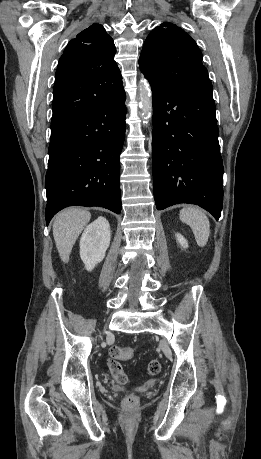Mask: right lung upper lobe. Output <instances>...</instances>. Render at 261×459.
Segmentation results:
<instances>
[{"instance_id": "obj_1", "label": "right lung upper lobe", "mask_w": 261, "mask_h": 459, "mask_svg": "<svg viewBox=\"0 0 261 459\" xmlns=\"http://www.w3.org/2000/svg\"><path fill=\"white\" fill-rule=\"evenodd\" d=\"M115 53L112 38L99 24L68 43L56 71L51 127L87 114L123 88Z\"/></svg>"}]
</instances>
